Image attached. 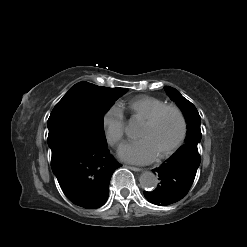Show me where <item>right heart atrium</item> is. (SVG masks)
<instances>
[{
  "label": "right heart atrium",
  "mask_w": 247,
  "mask_h": 247,
  "mask_svg": "<svg viewBox=\"0 0 247 247\" xmlns=\"http://www.w3.org/2000/svg\"><path fill=\"white\" fill-rule=\"evenodd\" d=\"M102 129L107 143L115 147L119 145L125 133V121L121 109L113 105L102 117Z\"/></svg>",
  "instance_id": "right-heart-atrium-1"
}]
</instances>
